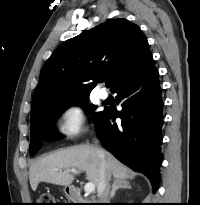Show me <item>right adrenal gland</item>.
<instances>
[{
  "instance_id": "1",
  "label": "right adrenal gland",
  "mask_w": 200,
  "mask_h": 205,
  "mask_svg": "<svg viewBox=\"0 0 200 205\" xmlns=\"http://www.w3.org/2000/svg\"><path fill=\"white\" fill-rule=\"evenodd\" d=\"M131 189V185L129 184V182L127 181H114L112 184V189H111V193H110V199H112L115 196V192L120 189Z\"/></svg>"
}]
</instances>
